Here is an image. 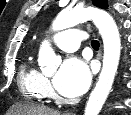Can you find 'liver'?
Listing matches in <instances>:
<instances>
[{"label":"liver","mask_w":131,"mask_h":115,"mask_svg":"<svg viewBox=\"0 0 131 115\" xmlns=\"http://www.w3.org/2000/svg\"><path fill=\"white\" fill-rule=\"evenodd\" d=\"M8 113L11 115H60L59 112L49 108L29 104H16Z\"/></svg>","instance_id":"6515ba94"}]
</instances>
